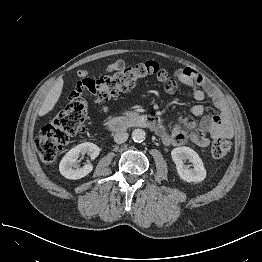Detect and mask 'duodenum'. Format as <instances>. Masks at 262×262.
<instances>
[{"mask_svg":"<svg viewBox=\"0 0 262 262\" xmlns=\"http://www.w3.org/2000/svg\"><path fill=\"white\" fill-rule=\"evenodd\" d=\"M154 126V121L150 119H133L125 116L111 119L107 122L106 125L107 129L112 132L122 131L134 127H143L151 129Z\"/></svg>","mask_w":262,"mask_h":262,"instance_id":"obj_1","label":"duodenum"}]
</instances>
